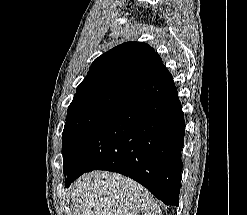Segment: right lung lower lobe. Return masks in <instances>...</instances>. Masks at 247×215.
<instances>
[{
	"mask_svg": "<svg viewBox=\"0 0 247 215\" xmlns=\"http://www.w3.org/2000/svg\"><path fill=\"white\" fill-rule=\"evenodd\" d=\"M185 120L172 75L161 64L79 140L65 186L92 170L121 173L178 206Z\"/></svg>",
	"mask_w": 247,
	"mask_h": 215,
	"instance_id": "1",
	"label": "right lung lower lobe"
}]
</instances>
